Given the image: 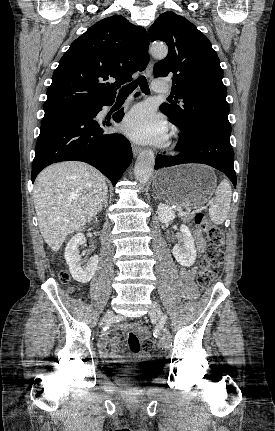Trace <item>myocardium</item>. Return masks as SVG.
Here are the masks:
<instances>
[{
	"instance_id": "f54148a6",
	"label": "myocardium",
	"mask_w": 275,
	"mask_h": 431,
	"mask_svg": "<svg viewBox=\"0 0 275 431\" xmlns=\"http://www.w3.org/2000/svg\"><path fill=\"white\" fill-rule=\"evenodd\" d=\"M177 137V132L174 130L171 135V141L168 143V146L173 147L175 143V139Z\"/></svg>"
}]
</instances>
